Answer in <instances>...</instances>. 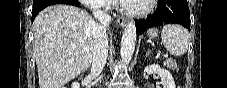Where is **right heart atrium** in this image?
Returning a JSON list of instances; mask_svg holds the SVG:
<instances>
[{
	"label": "right heart atrium",
	"instance_id": "right-heart-atrium-1",
	"mask_svg": "<svg viewBox=\"0 0 227 88\" xmlns=\"http://www.w3.org/2000/svg\"><path fill=\"white\" fill-rule=\"evenodd\" d=\"M82 3L93 12H104L110 8L109 0H82Z\"/></svg>",
	"mask_w": 227,
	"mask_h": 88
}]
</instances>
